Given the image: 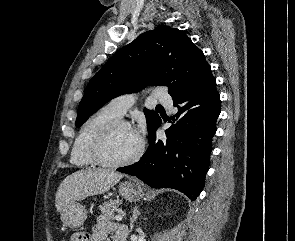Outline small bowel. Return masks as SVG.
Here are the masks:
<instances>
[{
  "mask_svg": "<svg viewBox=\"0 0 295 241\" xmlns=\"http://www.w3.org/2000/svg\"><path fill=\"white\" fill-rule=\"evenodd\" d=\"M87 241H106L109 235L113 236V241H126L127 228L111 221L104 215L97 218L91 233H84Z\"/></svg>",
  "mask_w": 295,
  "mask_h": 241,
  "instance_id": "small-bowel-1",
  "label": "small bowel"
}]
</instances>
